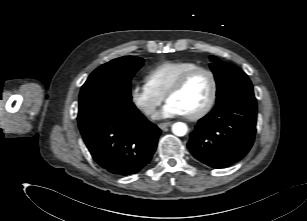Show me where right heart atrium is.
<instances>
[{
    "instance_id": "obj_1",
    "label": "right heart atrium",
    "mask_w": 307,
    "mask_h": 221,
    "mask_svg": "<svg viewBox=\"0 0 307 221\" xmlns=\"http://www.w3.org/2000/svg\"><path fill=\"white\" fill-rule=\"evenodd\" d=\"M130 100L140 112L152 117L163 101V97L156 94L146 84H135L130 89Z\"/></svg>"
}]
</instances>
